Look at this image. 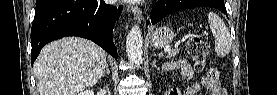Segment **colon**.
Returning a JSON list of instances; mask_svg holds the SVG:
<instances>
[{
  "label": "colon",
  "mask_w": 277,
  "mask_h": 95,
  "mask_svg": "<svg viewBox=\"0 0 277 95\" xmlns=\"http://www.w3.org/2000/svg\"><path fill=\"white\" fill-rule=\"evenodd\" d=\"M187 51L192 60L198 65V68L201 69L206 62L210 51V46L201 37L195 36L188 40ZM215 73V70H211L207 73L210 81L213 80L212 77L215 75Z\"/></svg>",
  "instance_id": "1"
}]
</instances>
